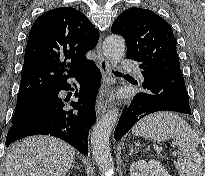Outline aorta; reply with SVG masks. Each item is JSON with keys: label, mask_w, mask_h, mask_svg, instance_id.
<instances>
[{"label": "aorta", "mask_w": 205, "mask_h": 176, "mask_svg": "<svg viewBox=\"0 0 205 176\" xmlns=\"http://www.w3.org/2000/svg\"><path fill=\"white\" fill-rule=\"evenodd\" d=\"M103 52L112 64L119 62L125 54V41L119 35H109L103 42ZM119 111L111 110L95 125L91 134V149L99 169L105 176L114 171L109 137L117 124Z\"/></svg>", "instance_id": "1"}]
</instances>
